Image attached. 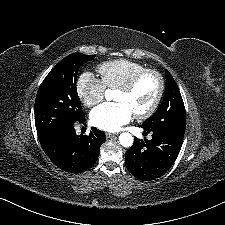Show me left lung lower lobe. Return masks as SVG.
<instances>
[{"label":"left lung lower lobe","instance_id":"obj_1","mask_svg":"<svg viewBox=\"0 0 225 225\" xmlns=\"http://www.w3.org/2000/svg\"><path fill=\"white\" fill-rule=\"evenodd\" d=\"M143 135L151 134L150 140L135 138L131 148L125 154L128 171L136 178L151 181L164 175L175 162L184 133L169 127L155 129L140 125Z\"/></svg>","mask_w":225,"mask_h":225}]
</instances>
